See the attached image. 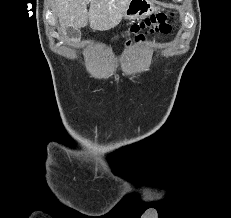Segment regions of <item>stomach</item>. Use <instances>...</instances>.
<instances>
[{"mask_svg":"<svg viewBox=\"0 0 231 218\" xmlns=\"http://www.w3.org/2000/svg\"><path fill=\"white\" fill-rule=\"evenodd\" d=\"M155 9L154 0H130L123 17L128 20H138L151 15Z\"/></svg>","mask_w":231,"mask_h":218,"instance_id":"1","label":"stomach"}]
</instances>
